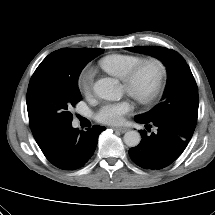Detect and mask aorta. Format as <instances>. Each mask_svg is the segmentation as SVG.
<instances>
[{"mask_svg":"<svg viewBox=\"0 0 215 215\" xmlns=\"http://www.w3.org/2000/svg\"><path fill=\"white\" fill-rule=\"evenodd\" d=\"M94 93L102 99L116 101L122 96V88L113 78H101L93 86ZM141 141L139 132L131 130L125 133L124 142L129 147H136Z\"/></svg>","mask_w":215,"mask_h":215,"instance_id":"obj_1","label":"aorta"}]
</instances>
